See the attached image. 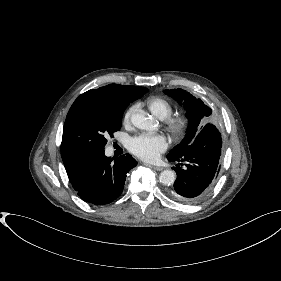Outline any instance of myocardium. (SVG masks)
<instances>
[{"instance_id": "obj_1", "label": "myocardium", "mask_w": 281, "mask_h": 281, "mask_svg": "<svg viewBox=\"0 0 281 281\" xmlns=\"http://www.w3.org/2000/svg\"><path fill=\"white\" fill-rule=\"evenodd\" d=\"M165 125L175 137H180L188 130L189 119L184 115L170 116L165 119Z\"/></svg>"}]
</instances>
